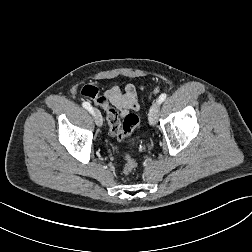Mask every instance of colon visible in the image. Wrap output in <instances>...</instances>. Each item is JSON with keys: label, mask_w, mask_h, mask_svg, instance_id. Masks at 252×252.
<instances>
[{"label": "colon", "mask_w": 252, "mask_h": 252, "mask_svg": "<svg viewBox=\"0 0 252 252\" xmlns=\"http://www.w3.org/2000/svg\"><path fill=\"white\" fill-rule=\"evenodd\" d=\"M82 95L93 100L105 109L109 129L115 139L122 140L139 128L140 120L137 115L128 114L124 117L123 121H121L118 110L114 106L109 105L102 95H99V89L95 85H85L82 88ZM136 165V161L133 157L129 153H125L123 167L124 174H131L135 170Z\"/></svg>", "instance_id": "5ec220e1"}]
</instances>
